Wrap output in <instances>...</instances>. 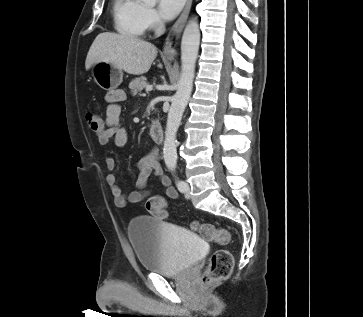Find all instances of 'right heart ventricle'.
Wrapping results in <instances>:
<instances>
[{
	"label": "right heart ventricle",
	"mask_w": 363,
	"mask_h": 317,
	"mask_svg": "<svg viewBox=\"0 0 363 317\" xmlns=\"http://www.w3.org/2000/svg\"><path fill=\"white\" fill-rule=\"evenodd\" d=\"M145 13L141 0H113L114 26L121 35L142 37L148 28Z\"/></svg>",
	"instance_id": "right-heart-ventricle-1"
}]
</instances>
